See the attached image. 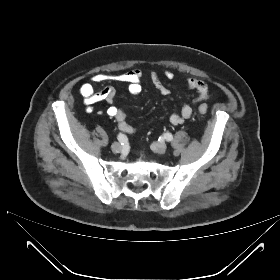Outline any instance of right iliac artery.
Returning a JSON list of instances; mask_svg holds the SVG:
<instances>
[{
  "label": "right iliac artery",
  "instance_id": "1",
  "mask_svg": "<svg viewBox=\"0 0 280 280\" xmlns=\"http://www.w3.org/2000/svg\"><path fill=\"white\" fill-rule=\"evenodd\" d=\"M117 138H118V141L121 143V145H124V143L127 142V136L124 134L120 133Z\"/></svg>",
  "mask_w": 280,
  "mask_h": 280
}]
</instances>
